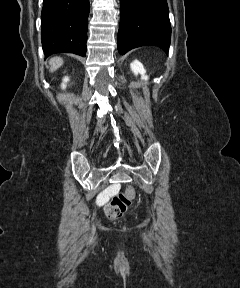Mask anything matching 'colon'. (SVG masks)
<instances>
[{
	"label": "colon",
	"instance_id": "1",
	"mask_svg": "<svg viewBox=\"0 0 240 288\" xmlns=\"http://www.w3.org/2000/svg\"><path fill=\"white\" fill-rule=\"evenodd\" d=\"M135 198L133 187H127L123 192L114 196L105 207V214L111 220L119 219Z\"/></svg>",
	"mask_w": 240,
	"mask_h": 288
}]
</instances>
